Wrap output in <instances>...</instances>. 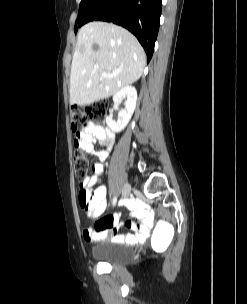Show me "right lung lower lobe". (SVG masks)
Segmentation results:
<instances>
[{"instance_id": "right-lung-lower-lobe-1", "label": "right lung lower lobe", "mask_w": 247, "mask_h": 304, "mask_svg": "<svg viewBox=\"0 0 247 304\" xmlns=\"http://www.w3.org/2000/svg\"><path fill=\"white\" fill-rule=\"evenodd\" d=\"M162 0H103L80 24L113 22L132 32L150 61L157 38Z\"/></svg>"}]
</instances>
